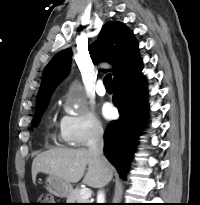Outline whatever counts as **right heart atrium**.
I'll return each instance as SVG.
<instances>
[{
    "instance_id": "1",
    "label": "right heart atrium",
    "mask_w": 200,
    "mask_h": 205,
    "mask_svg": "<svg viewBox=\"0 0 200 205\" xmlns=\"http://www.w3.org/2000/svg\"><path fill=\"white\" fill-rule=\"evenodd\" d=\"M60 138L69 145L84 146L100 138L104 128L90 111L74 108L67 110L60 120Z\"/></svg>"
}]
</instances>
